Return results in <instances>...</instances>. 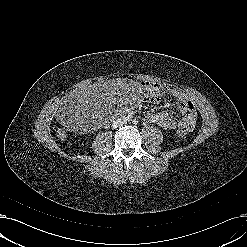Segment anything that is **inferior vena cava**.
Returning a JSON list of instances; mask_svg holds the SVG:
<instances>
[{"mask_svg": "<svg viewBox=\"0 0 247 247\" xmlns=\"http://www.w3.org/2000/svg\"><path fill=\"white\" fill-rule=\"evenodd\" d=\"M127 122V120L125 118H118L115 121H113V126L114 127H119L124 125Z\"/></svg>", "mask_w": 247, "mask_h": 247, "instance_id": "602c4592", "label": "inferior vena cava"}]
</instances>
